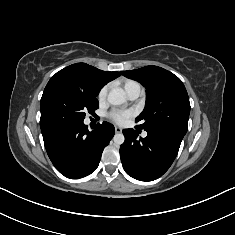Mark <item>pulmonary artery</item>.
<instances>
[{"mask_svg":"<svg viewBox=\"0 0 235 235\" xmlns=\"http://www.w3.org/2000/svg\"><path fill=\"white\" fill-rule=\"evenodd\" d=\"M141 89L140 88H133L127 91V96L130 100H136L140 95ZM147 136V132L143 133V137Z\"/></svg>","mask_w":235,"mask_h":235,"instance_id":"pulmonary-artery-1","label":"pulmonary artery"}]
</instances>
